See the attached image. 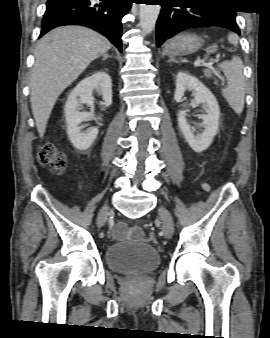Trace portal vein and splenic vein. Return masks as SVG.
I'll list each match as a JSON object with an SVG mask.
<instances>
[{
	"instance_id": "obj_1",
	"label": "portal vein and splenic vein",
	"mask_w": 270,
	"mask_h": 338,
	"mask_svg": "<svg viewBox=\"0 0 270 338\" xmlns=\"http://www.w3.org/2000/svg\"><path fill=\"white\" fill-rule=\"evenodd\" d=\"M201 65L203 66L205 65V64H201V60L198 59L195 61V66H201Z\"/></svg>"
}]
</instances>
